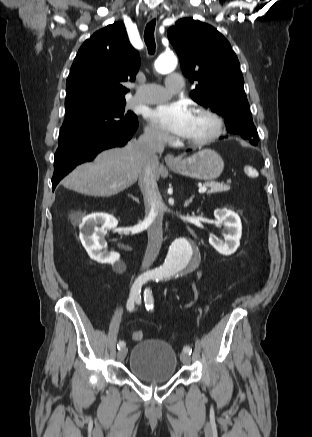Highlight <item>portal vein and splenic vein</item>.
<instances>
[{
	"label": "portal vein and splenic vein",
	"instance_id": "portal-vein-and-splenic-vein-1",
	"mask_svg": "<svg viewBox=\"0 0 312 437\" xmlns=\"http://www.w3.org/2000/svg\"><path fill=\"white\" fill-rule=\"evenodd\" d=\"M207 191V187L203 186L201 188H199V193H205Z\"/></svg>",
	"mask_w": 312,
	"mask_h": 437
}]
</instances>
